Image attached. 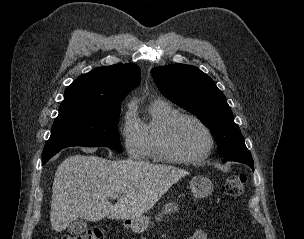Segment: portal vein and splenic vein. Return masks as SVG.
<instances>
[{"label":"portal vein and splenic vein","instance_id":"18ae733b","mask_svg":"<svg viewBox=\"0 0 304 239\" xmlns=\"http://www.w3.org/2000/svg\"><path fill=\"white\" fill-rule=\"evenodd\" d=\"M111 197L114 198V199H120L121 196L118 195V194H113Z\"/></svg>","mask_w":304,"mask_h":239}]
</instances>
